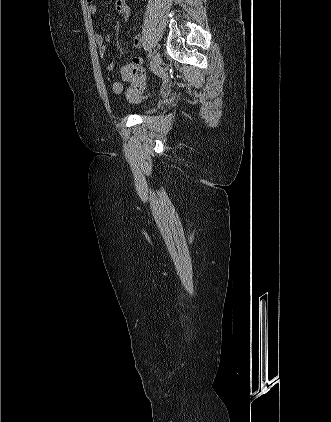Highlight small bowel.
Returning a JSON list of instances; mask_svg holds the SVG:
<instances>
[{
	"instance_id": "1",
	"label": "small bowel",
	"mask_w": 331,
	"mask_h": 422,
	"mask_svg": "<svg viewBox=\"0 0 331 422\" xmlns=\"http://www.w3.org/2000/svg\"><path fill=\"white\" fill-rule=\"evenodd\" d=\"M88 12L91 15H95L98 12V5L96 0H87ZM116 10L121 14L124 23L127 25L131 16V9L126 0H115ZM94 41L98 48V53L100 57H104L107 53V45L111 39V34L107 33L105 36H102L100 33H95ZM134 45L136 48L142 46V38L139 35L134 37ZM143 63V58L140 56H135L131 59V64L135 66H140ZM114 69V63L111 62L107 65V71H112ZM125 83L129 84V90L133 91L132 100L138 99L139 95L145 89V77L139 79L136 77H127L123 78V81H116L111 84V89L116 94H121L125 89Z\"/></svg>"
}]
</instances>
